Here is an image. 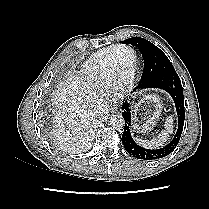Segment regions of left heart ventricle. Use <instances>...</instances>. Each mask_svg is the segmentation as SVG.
Returning a JSON list of instances; mask_svg holds the SVG:
<instances>
[{"label": "left heart ventricle", "instance_id": "obj_1", "mask_svg": "<svg viewBox=\"0 0 209 209\" xmlns=\"http://www.w3.org/2000/svg\"><path fill=\"white\" fill-rule=\"evenodd\" d=\"M133 62V53L129 50L122 51L116 61L117 72L120 75H125L131 68Z\"/></svg>", "mask_w": 209, "mask_h": 209}]
</instances>
